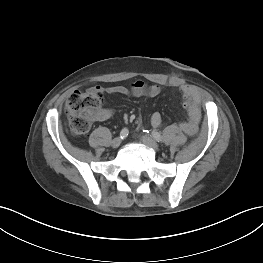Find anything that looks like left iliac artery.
<instances>
[{
	"label": "left iliac artery",
	"instance_id": "1",
	"mask_svg": "<svg viewBox=\"0 0 263 263\" xmlns=\"http://www.w3.org/2000/svg\"><path fill=\"white\" fill-rule=\"evenodd\" d=\"M149 132V131H147ZM151 136L158 142H162L163 138L162 136L160 135V133H158L157 131L153 130L151 131Z\"/></svg>",
	"mask_w": 263,
	"mask_h": 263
}]
</instances>
